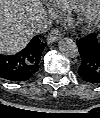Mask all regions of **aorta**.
<instances>
[{"label":"aorta","mask_w":100,"mask_h":118,"mask_svg":"<svg viewBox=\"0 0 100 118\" xmlns=\"http://www.w3.org/2000/svg\"><path fill=\"white\" fill-rule=\"evenodd\" d=\"M58 46L61 53L66 57L75 58L79 54L76 43L70 38H62L58 42Z\"/></svg>","instance_id":"aorta-1"}]
</instances>
